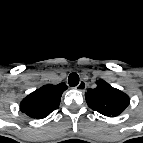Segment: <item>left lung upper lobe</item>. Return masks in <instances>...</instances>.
<instances>
[{"instance_id":"5c2ea615","label":"left lung upper lobe","mask_w":143,"mask_h":143,"mask_svg":"<svg viewBox=\"0 0 143 143\" xmlns=\"http://www.w3.org/2000/svg\"><path fill=\"white\" fill-rule=\"evenodd\" d=\"M96 84V88L88 89L85 93L86 102L92 110L108 117H116L127 108L130 103L128 95L104 80H98Z\"/></svg>"}]
</instances>
